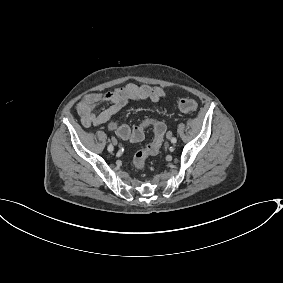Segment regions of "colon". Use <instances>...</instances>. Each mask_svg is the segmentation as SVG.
Instances as JSON below:
<instances>
[{
	"instance_id": "obj_1",
	"label": "colon",
	"mask_w": 283,
	"mask_h": 283,
	"mask_svg": "<svg viewBox=\"0 0 283 283\" xmlns=\"http://www.w3.org/2000/svg\"><path fill=\"white\" fill-rule=\"evenodd\" d=\"M197 106V102L192 98H182L178 102V108L185 113L194 112ZM149 126H152L154 129V139L144 149L134 155L133 165L137 170L145 168L146 160L149 156L158 154L166 131L164 123L153 118H145L141 124L132 129L125 124L116 122H111L108 125L109 129L117 132L121 138L132 142L140 141L144 136V130Z\"/></svg>"
}]
</instances>
